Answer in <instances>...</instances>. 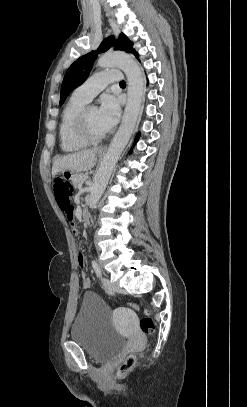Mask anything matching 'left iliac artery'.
<instances>
[{"label":"left iliac artery","mask_w":247,"mask_h":407,"mask_svg":"<svg viewBox=\"0 0 247 407\" xmlns=\"http://www.w3.org/2000/svg\"><path fill=\"white\" fill-rule=\"evenodd\" d=\"M91 263H92V267H93L95 273L97 274V276L101 277V275H102L101 269H100V266L98 265V263L95 260H93Z\"/></svg>","instance_id":"1"}]
</instances>
